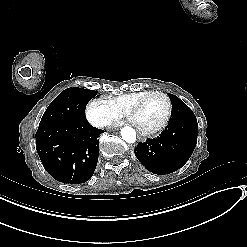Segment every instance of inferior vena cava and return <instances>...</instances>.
<instances>
[{"mask_svg":"<svg viewBox=\"0 0 247 247\" xmlns=\"http://www.w3.org/2000/svg\"><path fill=\"white\" fill-rule=\"evenodd\" d=\"M97 123L100 125V127L107 126V122L104 120H99V121H97Z\"/></svg>","mask_w":247,"mask_h":247,"instance_id":"1","label":"inferior vena cava"}]
</instances>
